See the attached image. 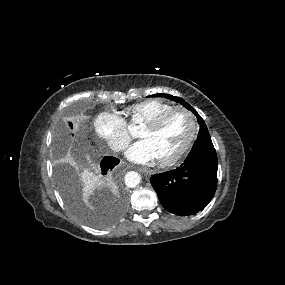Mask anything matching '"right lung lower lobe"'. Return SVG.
Instances as JSON below:
<instances>
[{
    "mask_svg": "<svg viewBox=\"0 0 285 285\" xmlns=\"http://www.w3.org/2000/svg\"><path fill=\"white\" fill-rule=\"evenodd\" d=\"M119 163V160L112 156H106L102 159L100 163V169L99 172L104 175L103 177H106V175L110 174L112 169ZM121 204L125 205L126 199L124 195L121 196Z\"/></svg>",
    "mask_w": 285,
    "mask_h": 285,
    "instance_id": "obj_1",
    "label": "right lung lower lobe"
}]
</instances>
